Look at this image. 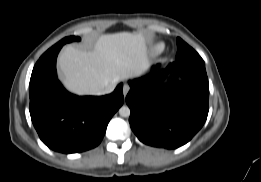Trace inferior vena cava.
I'll return each mask as SVG.
<instances>
[{"label": "inferior vena cava", "instance_id": "inferior-vena-cava-1", "mask_svg": "<svg viewBox=\"0 0 261 182\" xmlns=\"http://www.w3.org/2000/svg\"><path fill=\"white\" fill-rule=\"evenodd\" d=\"M113 90H114V87L111 86V85H108V86L102 88V89L99 91V94H109V93H111Z\"/></svg>", "mask_w": 261, "mask_h": 182}]
</instances>
